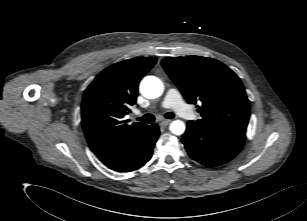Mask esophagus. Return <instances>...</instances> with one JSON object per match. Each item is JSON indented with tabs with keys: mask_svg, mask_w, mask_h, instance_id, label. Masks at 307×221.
Wrapping results in <instances>:
<instances>
[{
	"mask_svg": "<svg viewBox=\"0 0 307 221\" xmlns=\"http://www.w3.org/2000/svg\"><path fill=\"white\" fill-rule=\"evenodd\" d=\"M170 122H171V120H163V121L160 122L159 125H160L161 127H166L167 125L170 124Z\"/></svg>",
	"mask_w": 307,
	"mask_h": 221,
	"instance_id": "1",
	"label": "esophagus"
}]
</instances>
